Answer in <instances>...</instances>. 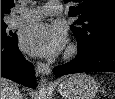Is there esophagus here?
Instances as JSON below:
<instances>
[{
  "label": "esophagus",
  "instance_id": "obj_1",
  "mask_svg": "<svg viewBox=\"0 0 115 99\" xmlns=\"http://www.w3.org/2000/svg\"><path fill=\"white\" fill-rule=\"evenodd\" d=\"M36 68H37L38 73L40 74H43V75L50 74V67L43 62H37Z\"/></svg>",
  "mask_w": 115,
  "mask_h": 99
}]
</instances>
